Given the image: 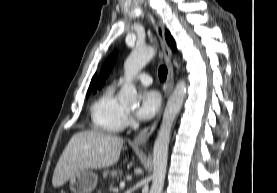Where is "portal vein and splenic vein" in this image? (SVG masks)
<instances>
[{"instance_id": "18ae733b", "label": "portal vein and splenic vein", "mask_w": 277, "mask_h": 193, "mask_svg": "<svg viewBox=\"0 0 277 193\" xmlns=\"http://www.w3.org/2000/svg\"><path fill=\"white\" fill-rule=\"evenodd\" d=\"M125 186V181H121L120 182V187H124Z\"/></svg>"}]
</instances>
